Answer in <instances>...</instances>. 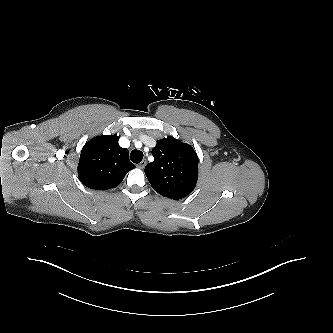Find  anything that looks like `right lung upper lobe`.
Wrapping results in <instances>:
<instances>
[{
  "label": "right lung upper lobe",
  "instance_id": "right-lung-upper-lobe-1",
  "mask_svg": "<svg viewBox=\"0 0 333 333\" xmlns=\"http://www.w3.org/2000/svg\"><path fill=\"white\" fill-rule=\"evenodd\" d=\"M117 135L97 136L88 141L80 154L78 176L91 189L116 187L135 168L128 149L121 148Z\"/></svg>",
  "mask_w": 333,
  "mask_h": 333
}]
</instances>
